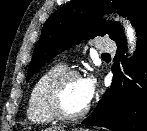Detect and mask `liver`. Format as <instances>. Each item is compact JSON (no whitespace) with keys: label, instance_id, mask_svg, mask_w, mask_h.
I'll return each mask as SVG.
<instances>
[{"label":"liver","instance_id":"liver-1","mask_svg":"<svg viewBox=\"0 0 147 131\" xmlns=\"http://www.w3.org/2000/svg\"><path fill=\"white\" fill-rule=\"evenodd\" d=\"M59 129H61V128H59V127H49L45 131H57Z\"/></svg>","mask_w":147,"mask_h":131}]
</instances>
